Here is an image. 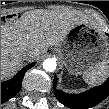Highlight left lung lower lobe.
<instances>
[{"instance_id": "1", "label": "left lung lower lobe", "mask_w": 109, "mask_h": 109, "mask_svg": "<svg viewBox=\"0 0 109 109\" xmlns=\"http://www.w3.org/2000/svg\"><path fill=\"white\" fill-rule=\"evenodd\" d=\"M57 77H54V92L60 103L71 109H88L96 106L109 96V78L100 86L81 94H68L55 89Z\"/></svg>"}]
</instances>
